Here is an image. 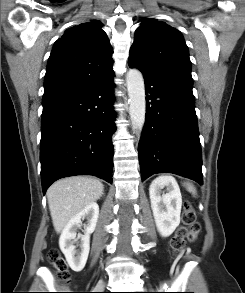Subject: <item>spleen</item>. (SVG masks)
<instances>
[{"label":"spleen","mask_w":245,"mask_h":293,"mask_svg":"<svg viewBox=\"0 0 245 293\" xmlns=\"http://www.w3.org/2000/svg\"><path fill=\"white\" fill-rule=\"evenodd\" d=\"M184 185L186 186L189 192H191L193 195H196V189L193 184L187 182Z\"/></svg>","instance_id":"3e777b00"}]
</instances>
